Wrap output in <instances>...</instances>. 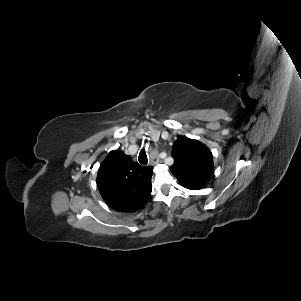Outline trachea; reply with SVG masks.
Returning a JSON list of instances; mask_svg holds the SVG:
<instances>
[{
	"label": "trachea",
	"instance_id": "trachea-1",
	"mask_svg": "<svg viewBox=\"0 0 301 301\" xmlns=\"http://www.w3.org/2000/svg\"><path fill=\"white\" fill-rule=\"evenodd\" d=\"M138 160H139L140 164H147V163H148V158H147V155H146L144 149H142V150L140 151Z\"/></svg>",
	"mask_w": 301,
	"mask_h": 301
}]
</instances>
